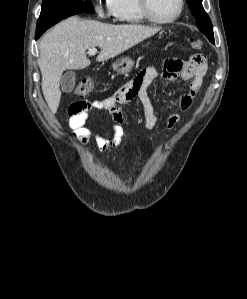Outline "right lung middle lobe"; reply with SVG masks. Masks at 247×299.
I'll list each match as a JSON object with an SVG mask.
<instances>
[{
    "label": "right lung middle lobe",
    "instance_id": "obj_1",
    "mask_svg": "<svg viewBox=\"0 0 247 299\" xmlns=\"http://www.w3.org/2000/svg\"><path fill=\"white\" fill-rule=\"evenodd\" d=\"M94 13L90 0H43L37 21L36 37H40L48 28L62 19L79 13Z\"/></svg>",
    "mask_w": 247,
    "mask_h": 299
}]
</instances>
